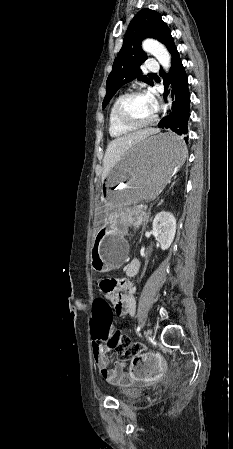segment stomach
<instances>
[{
    "mask_svg": "<svg viewBox=\"0 0 233 449\" xmlns=\"http://www.w3.org/2000/svg\"><path fill=\"white\" fill-rule=\"evenodd\" d=\"M186 153L177 133H158L133 145L112 167L103 181L102 196L108 213L105 223H99L94 240L93 270L104 273L118 269L127 256L126 225L114 209L156 198L182 165Z\"/></svg>",
    "mask_w": 233,
    "mask_h": 449,
    "instance_id": "obj_1",
    "label": "stomach"
}]
</instances>
